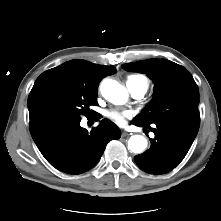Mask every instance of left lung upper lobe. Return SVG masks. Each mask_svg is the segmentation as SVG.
Masks as SVG:
<instances>
[{
	"instance_id": "1",
	"label": "left lung upper lobe",
	"mask_w": 221,
	"mask_h": 221,
	"mask_svg": "<svg viewBox=\"0 0 221 221\" xmlns=\"http://www.w3.org/2000/svg\"><path fill=\"white\" fill-rule=\"evenodd\" d=\"M127 71L147 74L155 83L154 98L134 120L152 124L166 119H199V91L192 75L166 59L123 64Z\"/></svg>"
}]
</instances>
